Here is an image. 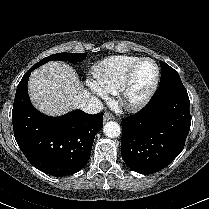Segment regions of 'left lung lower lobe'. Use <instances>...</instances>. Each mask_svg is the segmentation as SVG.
<instances>
[{
    "instance_id": "left-lung-lower-lobe-1",
    "label": "left lung lower lobe",
    "mask_w": 209,
    "mask_h": 209,
    "mask_svg": "<svg viewBox=\"0 0 209 209\" xmlns=\"http://www.w3.org/2000/svg\"><path fill=\"white\" fill-rule=\"evenodd\" d=\"M189 106L182 82L160 86L143 110L121 122L125 163L141 174L169 165L184 148L191 125Z\"/></svg>"
}]
</instances>
